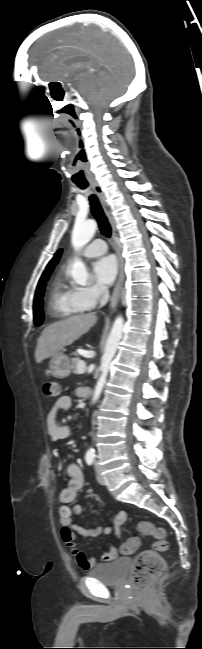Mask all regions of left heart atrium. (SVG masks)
<instances>
[{"instance_id":"39dd6f15","label":"left heart atrium","mask_w":202,"mask_h":649,"mask_svg":"<svg viewBox=\"0 0 202 649\" xmlns=\"http://www.w3.org/2000/svg\"><path fill=\"white\" fill-rule=\"evenodd\" d=\"M95 280L104 286L110 285L117 275V262L112 255L103 256L93 265Z\"/></svg>"}]
</instances>
